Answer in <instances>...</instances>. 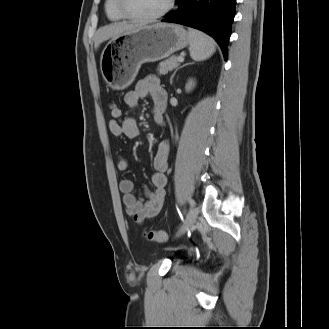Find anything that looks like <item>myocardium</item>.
<instances>
[{
	"label": "myocardium",
	"mask_w": 329,
	"mask_h": 329,
	"mask_svg": "<svg viewBox=\"0 0 329 329\" xmlns=\"http://www.w3.org/2000/svg\"><path fill=\"white\" fill-rule=\"evenodd\" d=\"M174 1L175 0H168L166 3V6L160 12H158L154 15H150V16H142V15H138V14L130 12L128 10V8L126 7L125 0H117V5H118V9L121 12V14L127 19L139 21V22H153L158 19H161L162 17H164L165 15L168 14L174 6Z\"/></svg>",
	"instance_id": "f54148a6"
}]
</instances>
